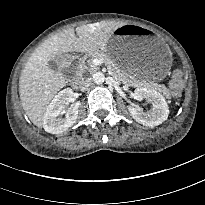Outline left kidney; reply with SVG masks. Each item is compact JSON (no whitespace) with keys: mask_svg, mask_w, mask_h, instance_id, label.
Instances as JSON below:
<instances>
[{"mask_svg":"<svg viewBox=\"0 0 205 205\" xmlns=\"http://www.w3.org/2000/svg\"><path fill=\"white\" fill-rule=\"evenodd\" d=\"M135 99L146 100L152 108L143 112L137 106H128V110L136 122L145 126L154 127L163 123L169 115L168 104L163 95L150 88H137L134 91Z\"/></svg>","mask_w":205,"mask_h":205,"instance_id":"1","label":"left kidney"}]
</instances>
